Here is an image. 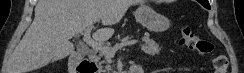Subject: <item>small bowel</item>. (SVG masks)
<instances>
[{"label":"small bowel","mask_w":244,"mask_h":73,"mask_svg":"<svg viewBox=\"0 0 244 73\" xmlns=\"http://www.w3.org/2000/svg\"><path fill=\"white\" fill-rule=\"evenodd\" d=\"M131 68L134 69V72H132V73H143L144 72L143 66L140 64H134Z\"/></svg>","instance_id":"c3829d8e"}]
</instances>
